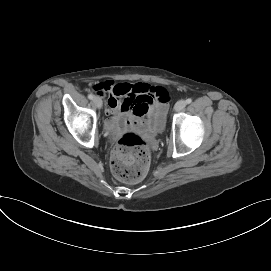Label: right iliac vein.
<instances>
[{"label": "right iliac vein", "instance_id": "obj_1", "mask_svg": "<svg viewBox=\"0 0 271 271\" xmlns=\"http://www.w3.org/2000/svg\"><path fill=\"white\" fill-rule=\"evenodd\" d=\"M93 102L97 108L100 109L102 107V100L100 97L98 96L94 97Z\"/></svg>", "mask_w": 271, "mask_h": 271}]
</instances>
